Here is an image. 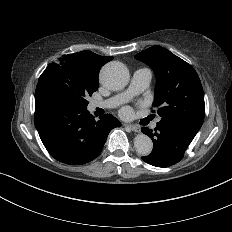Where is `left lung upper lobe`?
Listing matches in <instances>:
<instances>
[{"label":"left lung upper lobe","instance_id":"5c2ea615","mask_svg":"<svg viewBox=\"0 0 232 232\" xmlns=\"http://www.w3.org/2000/svg\"><path fill=\"white\" fill-rule=\"evenodd\" d=\"M156 75L154 107L157 123L192 141L205 116L203 88L193 67L161 46H152L135 56Z\"/></svg>","mask_w":232,"mask_h":232}]
</instances>
